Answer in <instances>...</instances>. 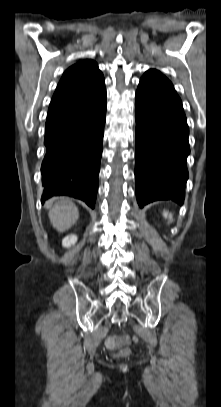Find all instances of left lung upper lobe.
I'll list each match as a JSON object with an SVG mask.
<instances>
[{
  "label": "left lung upper lobe",
  "mask_w": 221,
  "mask_h": 407,
  "mask_svg": "<svg viewBox=\"0 0 221 407\" xmlns=\"http://www.w3.org/2000/svg\"><path fill=\"white\" fill-rule=\"evenodd\" d=\"M165 77L160 71L155 70V69H150L148 71L145 72V74L143 75V77Z\"/></svg>",
  "instance_id": "obj_1"
}]
</instances>
